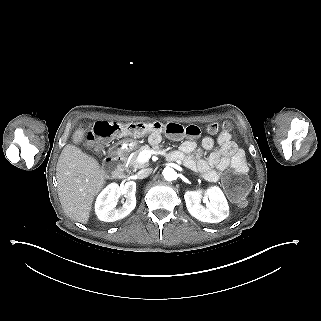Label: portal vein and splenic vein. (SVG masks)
Returning <instances> with one entry per match:
<instances>
[{"label": "portal vein and splenic vein", "instance_id": "1", "mask_svg": "<svg viewBox=\"0 0 321 321\" xmlns=\"http://www.w3.org/2000/svg\"><path fill=\"white\" fill-rule=\"evenodd\" d=\"M150 158H151V151L144 150L138 154L136 159L138 163L144 164V163H147L150 160Z\"/></svg>", "mask_w": 321, "mask_h": 321}]
</instances>
